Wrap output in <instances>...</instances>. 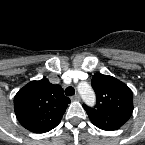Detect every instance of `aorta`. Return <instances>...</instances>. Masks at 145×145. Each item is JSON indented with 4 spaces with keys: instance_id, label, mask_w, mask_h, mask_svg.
I'll return each instance as SVG.
<instances>
[{
    "instance_id": "obj_1",
    "label": "aorta",
    "mask_w": 145,
    "mask_h": 145,
    "mask_svg": "<svg viewBox=\"0 0 145 145\" xmlns=\"http://www.w3.org/2000/svg\"><path fill=\"white\" fill-rule=\"evenodd\" d=\"M78 91L87 105L92 106L95 104L96 102L95 93L88 83L86 82L80 83L78 86Z\"/></svg>"
}]
</instances>
